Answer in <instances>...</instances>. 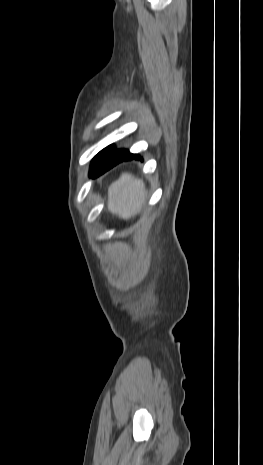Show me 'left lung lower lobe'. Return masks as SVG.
<instances>
[{
  "label": "left lung lower lobe",
  "instance_id": "left-lung-lower-lobe-1",
  "mask_svg": "<svg viewBox=\"0 0 263 465\" xmlns=\"http://www.w3.org/2000/svg\"><path fill=\"white\" fill-rule=\"evenodd\" d=\"M140 159V155L131 154L128 150H116L112 145L100 151L92 160L90 176L103 174L121 161Z\"/></svg>",
  "mask_w": 263,
  "mask_h": 465
}]
</instances>
